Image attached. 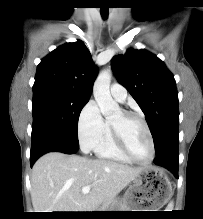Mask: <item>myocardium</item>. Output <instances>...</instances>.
Masks as SVG:
<instances>
[{"label": "myocardium", "instance_id": "obj_1", "mask_svg": "<svg viewBox=\"0 0 203 219\" xmlns=\"http://www.w3.org/2000/svg\"><path fill=\"white\" fill-rule=\"evenodd\" d=\"M121 114H122L123 118H125V119L133 117V118L139 119L142 122V124L147 132L148 138H149V142H150V146H151V156L146 161H141V160H138L137 158H135L127 146L126 139H125V136H124V133H123L121 127L111 121L110 124H111V128H112L113 136H114V139H115V142H116L118 148L130 161L135 162V163L140 164V165L150 164L155 158L156 147H155L154 138H153V135H152V132H151V129H150V126H149L147 120L145 119V117L142 114H140L136 111H133V110L123 109V110H121Z\"/></svg>", "mask_w": 203, "mask_h": 219}]
</instances>
